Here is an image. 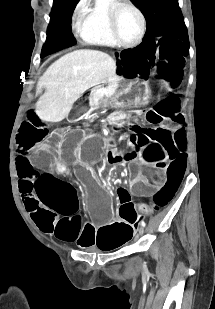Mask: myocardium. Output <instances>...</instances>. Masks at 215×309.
Listing matches in <instances>:
<instances>
[{
	"label": "myocardium",
	"mask_w": 215,
	"mask_h": 309,
	"mask_svg": "<svg viewBox=\"0 0 215 309\" xmlns=\"http://www.w3.org/2000/svg\"><path fill=\"white\" fill-rule=\"evenodd\" d=\"M121 9L129 10L133 13L136 19V34L129 42H126V39L119 38V32H117L119 21L117 20V16L114 15V13ZM105 13L110 19V31L112 33L111 37H114V44L111 45L118 48H134L140 43L143 38L145 24L141 12L136 7L132 5H118L115 7L111 6L109 9L105 10Z\"/></svg>",
	"instance_id": "obj_1"
}]
</instances>
